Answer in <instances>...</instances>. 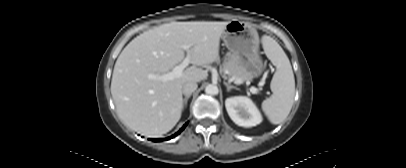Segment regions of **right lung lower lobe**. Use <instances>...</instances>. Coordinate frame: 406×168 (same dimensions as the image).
Returning a JSON list of instances; mask_svg holds the SVG:
<instances>
[{"label":"right lung lower lobe","instance_id":"1","mask_svg":"<svg viewBox=\"0 0 406 168\" xmlns=\"http://www.w3.org/2000/svg\"><path fill=\"white\" fill-rule=\"evenodd\" d=\"M187 124H188V123L184 124L183 127H182L178 132H176L175 134H173L172 136H170V137H168V138H163V139L154 140V141H163V140H169V139H171V138H174L175 136L179 135V134L184 130V128L186 127Z\"/></svg>","mask_w":406,"mask_h":168}]
</instances>
